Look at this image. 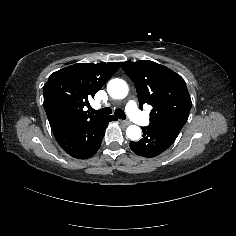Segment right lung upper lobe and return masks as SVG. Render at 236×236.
<instances>
[{
	"mask_svg": "<svg viewBox=\"0 0 236 236\" xmlns=\"http://www.w3.org/2000/svg\"><path fill=\"white\" fill-rule=\"evenodd\" d=\"M119 67L118 62L78 63L52 73L43 87V105L53 133L99 117L84 107Z\"/></svg>",
	"mask_w": 236,
	"mask_h": 236,
	"instance_id": "right-lung-upper-lobe-1",
	"label": "right lung upper lobe"
}]
</instances>
